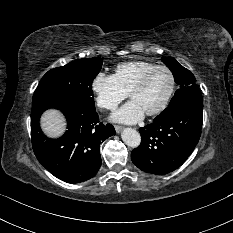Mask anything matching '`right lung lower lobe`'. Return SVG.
<instances>
[{"mask_svg":"<svg viewBox=\"0 0 233 233\" xmlns=\"http://www.w3.org/2000/svg\"><path fill=\"white\" fill-rule=\"evenodd\" d=\"M62 111L67 131L58 139L47 138L41 131V114L49 109ZM95 108L69 101L41 100L32 103L31 137L38 161L55 177L80 183L96 175L101 166L100 145L115 129L111 124L98 123Z\"/></svg>","mask_w":233,"mask_h":233,"instance_id":"1","label":"right lung lower lobe"}]
</instances>
